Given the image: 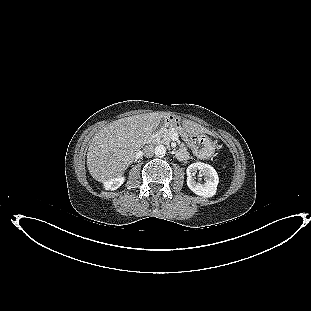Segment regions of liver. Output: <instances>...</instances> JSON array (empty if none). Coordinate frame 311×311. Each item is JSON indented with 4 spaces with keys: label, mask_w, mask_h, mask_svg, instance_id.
Instances as JSON below:
<instances>
[{
    "label": "liver",
    "mask_w": 311,
    "mask_h": 311,
    "mask_svg": "<svg viewBox=\"0 0 311 311\" xmlns=\"http://www.w3.org/2000/svg\"><path fill=\"white\" fill-rule=\"evenodd\" d=\"M165 116L157 112L139 114L113 121L99 130L87 152L91 176L101 183L121 177ZM183 124L191 132H205L204 127L193 121L184 120Z\"/></svg>",
    "instance_id": "obj_1"
}]
</instances>
